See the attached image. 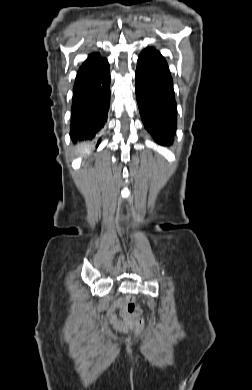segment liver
I'll return each mask as SVG.
<instances>
[{
  "label": "liver",
  "instance_id": "obj_1",
  "mask_svg": "<svg viewBox=\"0 0 252 390\" xmlns=\"http://www.w3.org/2000/svg\"><path fill=\"white\" fill-rule=\"evenodd\" d=\"M89 150H90V147L87 144H80V145H78V151L80 153L88 152Z\"/></svg>",
  "mask_w": 252,
  "mask_h": 390
}]
</instances>
